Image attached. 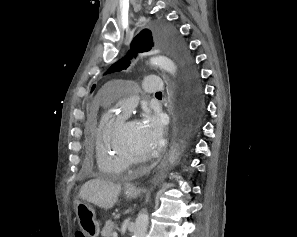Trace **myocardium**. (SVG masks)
I'll return each instance as SVG.
<instances>
[{"mask_svg": "<svg viewBox=\"0 0 297 237\" xmlns=\"http://www.w3.org/2000/svg\"><path fill=\"white\" fill-rule=\"evenodd\" d=\"M131 122H134V120L127 117H125L120 122L115 132V143L119 152L124 157L128 165L143 164L152 160L155 157V153L150 152L145 155H136L129 149L127 143L124 140V130L126 126Z\"/></svg>", "mask_w": 297, "mask_h": 237, "instance_id": "1", "label": "myocardium"}]
</instances>
